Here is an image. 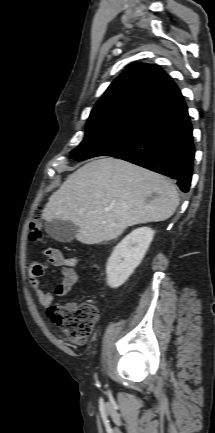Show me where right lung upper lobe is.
<instances>
[{
    "label": "right lung upper lobe",
    "instance_id": "obj_1",
    "mask_svg": "<svg viewBox=\"0 0 215 433\" xmlns=\"http://www.w3.org/2000/svg\"><path fill=\"white\" fill-rule=\"evenodd\" d=\"M180 94L176 84L158 66L133 64L110 84L88 122L123 116L147 117Z\"/></svg>",
    "mask_w": 215,
    "mask_h": 433
}]
</instances>
